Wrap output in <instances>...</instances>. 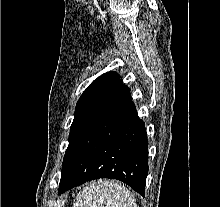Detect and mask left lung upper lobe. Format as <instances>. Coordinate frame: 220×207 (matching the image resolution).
Listing matches in <instances>:
<instances>
[{"label": "left lung upper lobe", "instance_id": "left-lung-upper-lobe-1", "mask_svg": "<svg viewBox=\"0 0 220 207\" xmlns=\"http://www.w3.org/2000/svg\"><path fill=\"white\" fill-rule=\"evenodd\" d=\"M119 79L120 76L116 72H107L95 79L83 92L76 104L69 139Z\"/></svg>", "mask_w": 220, "mask_h": 207}]
</instances>
